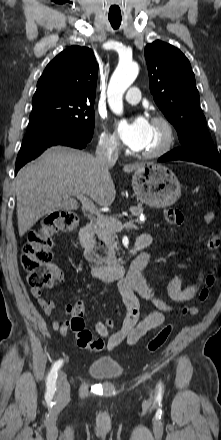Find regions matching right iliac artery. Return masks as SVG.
I'll use <instances>...</instances> for the list:
<instances>
[{
	"label": "right iliac artery",
	"mask_w": 221,
	"mask_h": 440,
	"mask_svg": "<svg viewBox=\"0 0 221 440\" xmlns=\"http://www.w3.org/2000/svg\"><path fill=\"white\" fill-rule=\"evenodd\" d=\"M63 361L58 360L54 363V365L51 368V371L47 377V397H53L55 391H56V379H57V372L62 366Z\"/></svg>",
	"instance_id": "right-iliac-artery-1"
}]
</instances>
